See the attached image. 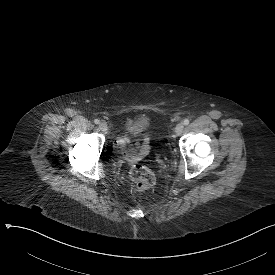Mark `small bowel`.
<instances>
[{"mask_svg":"<svg viewBox=\"0 0 275 275\" xmlns=\"http://www.w3.org/2000/svg\"><path fill=\"white\" fill-rule=\"evenodd\" d=\"M142 137L144 141L140 145L139 150H136V145L125 137H120L115 141V148L124 156L125 161L135 163L147 155L149 141L152 140L153 136L151 132L147 131L143 133Z\"/></svg>","mask_w":275,"mask_h":275,"instance_id":"obj_1","label":"small bowel"}]
</instances>
